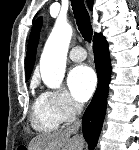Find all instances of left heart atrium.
Segmentation results:
<instances>
[{
    "label": "left heart atrium",
    "mask_w": 139,
    "mask_h": 150,
    "mask_svg": "<svg viewBox=\"0 0 139 150\" xmlns=\"http://www.w3.org/2000/svg\"><path fill=\"white\" fill-rule=\"evenodd\" d=\"M97 84L96 74L86 65L74 67L68 75V87L72 96L79 102L87 101Z\"/></svg>",
    "instance_id": "1"
}]
</instances>
